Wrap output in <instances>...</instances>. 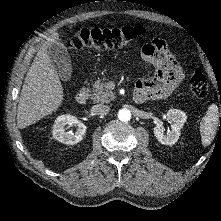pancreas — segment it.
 <instances>
[{"mask_svg":"<svg viewBox=\"0 0 221 221\" xmlns=\"http://www.w3.org/2000/svg\"><path fill=\"white\" fill-rule=\"evenodd\" d=\"M105 79L98 80L93 84L91 99L93 102L109 103L114 99V93L107 88Z\"/></svg>","mask_w":221,"mask_h":221,"instance_id":"1","label":"pancreas"}]
</instances>
